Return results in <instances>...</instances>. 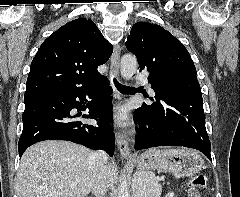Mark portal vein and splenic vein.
<instances>
[{
  "mask_svg": "<svg viewBox=\"0 0 240 197\" xmlns=\"http://www.w3.org/2000/svg\"><path fill=\"white\" fill-rule=\"evenodd\" d=\"M70 187H71V188H73V187H74V185H71Z\"/></svg>",
  "mask_w": 240,
  "mask_h": 197,
  "instance_id": "obj_1",
  "label": "portal vein and splenic vein"
}]
</instances>
